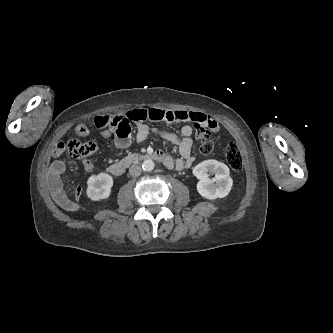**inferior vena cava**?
Returning a JSON list of instances; mask_svg holds the SVG:
<instances>
[{
  "instance_id": "inferior-vena-cava-1",
  "label": "inferior vena cava",
  "mask_w": 333,
  "mask_h": 333,
  "mask_svg": "<svg viewBox=\"0 0 333 333\" xmlns=\"http://www.w3.org/2000/svg\"><path fill=\"white\" fill-rule=\"evenodd\" d=\"M141 172H142V169L139 165H133L129 169V174L132 177H138L141 174Z\"/></svg>"
}]
</instances>
